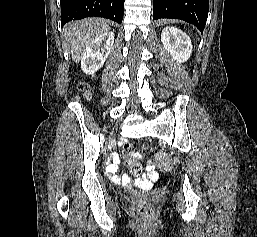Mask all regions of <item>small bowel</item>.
<instances>
[{"label":"small bowel","mask_w":257,"mask_h":237,"mask_svg":"<svg viewBox=\"0 0 257 237\" xmlns=\"http://www.w3.org/2000/svg\"><path fill=\"white\" fill-rule=\"evenodd\" d=\"M118 170V160L115 158L113 163L108 166V173L112 176L113 180L117 183L126 185L131 182V179L128 174L122 173L117 174ZM157 178V174L153 171L151 166H148V171L145 175L139 176L136 178V182L141 186H149L152 181Z\"/></svg>","instance_id":"small-bowel-1"}]
</instances>
